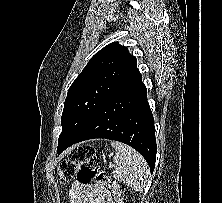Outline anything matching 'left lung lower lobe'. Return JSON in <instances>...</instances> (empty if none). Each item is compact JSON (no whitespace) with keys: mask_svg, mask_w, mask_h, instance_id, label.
I'll list each match as a JSON object with an SVG mask.
<instances>
[{"mask_svg":"<svg viewBox=\"0 0 222 203\" xmlns=\"http://www.w3.org/2000/svg\"><path fill=\"white\" fill-rule=\"evenodd\" d=\"M94 138L116 140L133 147L153 172L157 152L154 119L138 69L105 100L73 141L57 149L58 154L75 143Z\"/></svg>","mask_w":222,"mask_h":203,"instance_id":"0a47b994","label":"left lung lower lobe"}]
</instances>
